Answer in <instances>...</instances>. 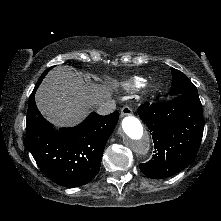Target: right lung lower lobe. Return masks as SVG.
Returning a JSON list of instances; mask_svg holds the SVG:
<instances>
[{"label": "right lung lower lobe", "instance_id": "98d812e1", "mask_svg": "<svg viewBox=\"0 0 221 221\" xmlns=\"http://www.w3.org/2000/svg\"><path fill=\"white\" fill-rule=\"evenodd\" d=\"M43 78H39L28 103L29 149L53 182L65 187L87 184L99 172L104 147L118 122L119 113L106 116L91 113L79 125L55 131L35 104V92Z\"/></svg>", "mask_w": 221, "mask_h": 221}]
</instances>
